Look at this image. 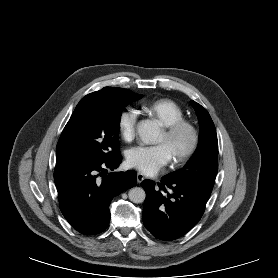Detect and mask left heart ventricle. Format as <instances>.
<instances>
[{"instance_id": "b2bd125f", "label": "left heart ventricle", "mask_w": 278, "mask_h": 278, "mask_svg": "<svg viewBox=\"0 0 278 278\" xmlns=\"http://www.w3.org/2000/svg\"><path fill=\"white\" fill-rule=\"evenodd\" d=\"M158 143L162 144L166 147V149L172 159V157L175 154L184 150L187 147V145L189 143V136L187 133H182L179 136H177L175 139H173L171 141H167L164 134H162Z\"/></svg>"}]
</instances>
